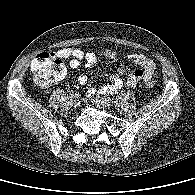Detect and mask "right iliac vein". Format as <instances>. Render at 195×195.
<instances>
[{"label": "right iliac vein", "instance_id": "right-iliac-vein-1", "mask_svg": "<svg viewBox=\"0 0 195 195\" xmlns=\"http://www.w3.org/2000/svg\"><path fill=\"white\" fill-rule=\"evenodd\" d=\"M71 105L76 108L80 105V101L78 99L74 98L71 102Z\"/></svg>", "mask_w": 195, "mask_h": 195}]
</instances>
